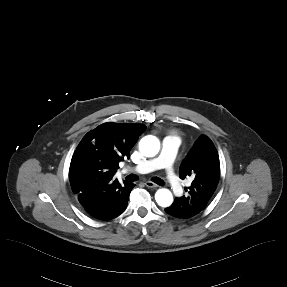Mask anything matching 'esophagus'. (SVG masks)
I'll list each match as a JSON object with an SVG mask.
<instances>
[{
    "mask_svg": "<svg viewBox=\"0 0 287 287\" xmlns=\"http://www.w3.org/2000/svg\"><path fill=\"white\" fill-rule=\"evenodd\" d=\"M145 185L149 188H153L156 189L158 186L156 184H154L152 181H146Z\"/></svg>",
    "mask_w": 287,
    "mask_h": 287,
    "instance_id": "34e87169",
    "label": "esophagus"
}]
</instances>
